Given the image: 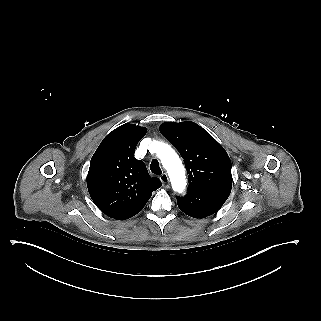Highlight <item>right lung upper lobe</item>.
I'll list each match as a JSON object with an SVG mask.
<instances>
[{
  "instance_id": "obj_1",
  "label": "right lung upper lobe",
  "mask_w": 321,
  "mask_h": 321,
  "mask_svg": "<svg viewBox=\"0 0 321 321\" xmlns=\"http://www.w3.org/2000/svg\"><path fill=\"white\" fill-rule=\"evenodd\" d=\"M146 128L124 124L109 133L95 151L87 175L89 194L107 216L122 220L140 212L154 190L162 186L134 157Z\"/></svg>"
}]
</instances>
